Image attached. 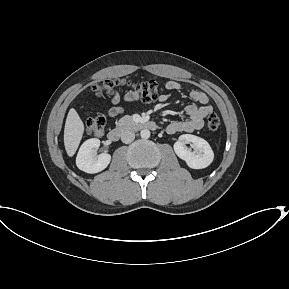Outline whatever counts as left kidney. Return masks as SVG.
I'll use <instances>...</instances> for the list:
<instances>
[{"label": "left kidney", "mask_w": 289, "mask_h": 289, "mask_svg": "<svg viewBox=\"0 0 289 289\" xmlns=\"http://www.w3.org/2000/svg\"><path fill=\"white\" fill-rule=\"evenodd\" d=\"M186 143H191L193 151L184 146ZM174 151L192 169L206 168L214 159V153L209 143L203 138L191 134L181 135L174 144Z\"/></svg>", "instance_id": "obj_1"}]
</instances>
